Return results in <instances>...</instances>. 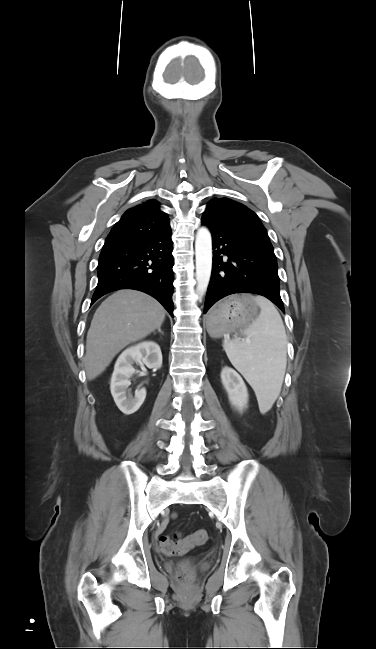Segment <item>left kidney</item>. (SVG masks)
I'll list each match as a JSON object with an SVG mask.
<instances>
[{"label":"left kidney","instance_id":"1","mask_svg":"<svg viewBox=\"0 0 376 649\" xmlns=\"http://www.w3.org/2000/svg\"><path fill=\"white\" fill-rule=\"evenodd\" d=\"M221 380L232 406L242 412L248 403V390L242 377L232 368L225 367L221 372Z\"/></svg>","mask_w":376,"mask_h":649}]
</instances>
